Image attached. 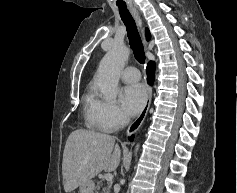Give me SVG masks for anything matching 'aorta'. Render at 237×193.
Instances as JSON below:
<instances>
[{"instance_id": "obj_1", "label": "aorta", "mask_w": 237, "mask_h": 193, "mask_svg": "<svg viewBox=\"0 0 237 193\" xmlns=\"http://www.w3.org/2000/svg\"><path fill=\"white\" fill-rule=\"evenodd\" d=\"M128 57L129 49L125 45L117 43L101 60L97 71L96 82L106 100L111 99L117 94L119 74ZM138 149L139 144L136 145L135 152Z\"/></svg>"}]
</instances>
